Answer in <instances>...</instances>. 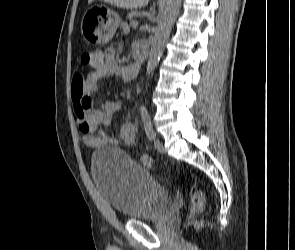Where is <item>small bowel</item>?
<instances>
[{"mask_svg": "<svg viewBox=\"0 0 295 250\" xmlns=\"http://www.w3.org/2000/svg\"><path fill=\"white\" fill-rule=\"evenodd\" d=\"M89 65L92 71L86 76L75 73L71 91L77 125L82 133L83 142L88 147L97 148L115 143L104 128L110 125L114 114L121 107L117 101L100 100V107L95 108L93 97L100 98L98 81L112 75H118L125 81H130L136 76L138 67L135 63L119 65L116 60V50L113 47L94 50ZM133 136V127L127 126L122 130L124 141H131Z\"/></svg>", "mask_w": 295, "mask_h": 250, "instance_id": "obj_1", "label": "small bowel"}]
</instances>
